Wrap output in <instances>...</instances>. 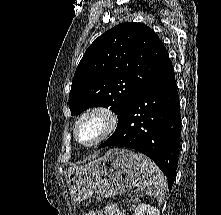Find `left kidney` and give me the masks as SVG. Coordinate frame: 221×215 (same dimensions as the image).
<instances>
[{
    "mask_svg": "<svg viewBox=\"0 0 221 215\" xmlns=\"http://www.w3.org/2000/svg\"><path fill=\"white\" fill-rule=\"evenodd\" d=\"M134 215H160V211L149 204H138L134 210Z\"/></svg>",
    "mask_w": 221,
    "mask_h": 215,
    "instance_id": "obj_1",
    "label": "left kidney"
}]
</instances>
